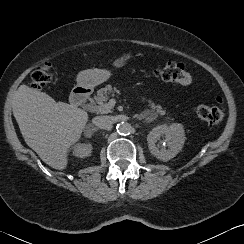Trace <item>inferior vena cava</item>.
<instances>
[{
	"label": "inferior vena cava",
	"mask_w": 244,
	"mask_h": 244,
	"mask_svg": "<svg viewBox=\"0 0 244 244\" xmlns=\"http://www.w3.org/2000/svg\"><path fill=\"white\" fill-rule=\"evenodd\" d=\"M92 122L100 129H107L113 124L112 118L110 116H96L93 118Z\"/></svg>",
	"instance_id": "602c4592"
}]
</instances>
